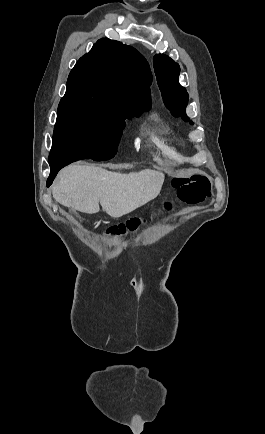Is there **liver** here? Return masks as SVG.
I'll return each instance as SVG.
<instances>
[{
	"instance_id": "1",
	"label": "liver",
	"mask_w": 265,
	"mask_h": 434,
	"mask_svg": "<svg viewBox=\"0 0 265 434\" xmlns=\"http://www.w3.org/2000/svg\"><path fill=\"white\" fill-rule=\"evenodd\" d=\"M164 178L155 170L117 174L95 166L71 164L59 172L52 194L66 208L96 214L101 204L111 218H121L157 198Z\"/></svg>"
}]
</instances>
